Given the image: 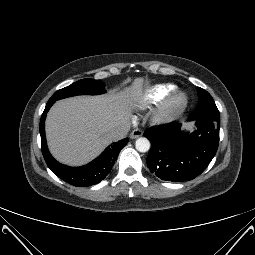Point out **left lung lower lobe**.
<instances>
[{"label": "left lung lower lobe", "instance_id": "obj_1", "mask_svg": "<svg viewBox=\"0 0 255 255\" xmlns=\"http://www.w3.org/2000/svg\"><path fill=\"white\" fill-rule=\"evenodd\" d=\"M195 120L197 130L182 132L181 124L172 122L144 132L152 147L147 165L152 173L165 181L182 182L199 176L216 154L219 143L220 118Z\"/></svg>", "mask_w": 255, "mask_h": 255}]
</instances>
